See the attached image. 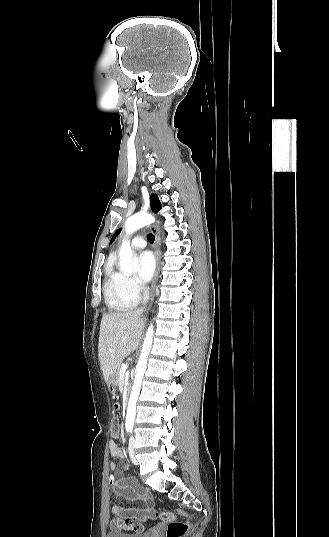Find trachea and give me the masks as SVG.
Segmentation results:
<instances>
[{"label": "trachea", "instance_id": "3493384b", "mask_svg": "<svg viewBox=\"0 0 329 537\" xmlns=\"http://www.w3.org/2000/svg\"><path fill=\"white\" fill-rule=\"evenodd\" d=\"M154 239H155V237L153 236V234H151V233L148 234V240H149L150 243H153Z\"/></svg>", "mask_w": 329, "mask_h": 537}]
</instances>
